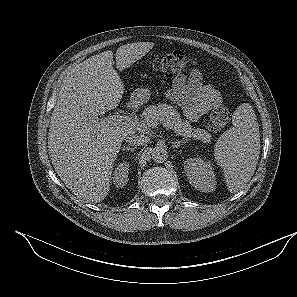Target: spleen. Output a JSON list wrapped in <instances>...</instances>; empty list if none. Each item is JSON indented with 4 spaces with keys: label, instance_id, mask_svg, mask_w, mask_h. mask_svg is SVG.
I'll list each match as a JSON object with an SVG mask.
<instances>
[{
    "label": "spleen",
    "instance_id": "obj_1",
    "mask_svg": "<svg viewBox=\"0 0 297 297\" xmlns=\"http://www.w3.org/2000/svg\"><path fill=\"white\" fill-rule=\"evenodd\" d=\"M233 127L217 140L216 163L223 169L228 190L236 193L253 176L260 154L259 124L252 106L243 103L232 116Z\"/></svg>",
    "mask_w": 297,
    "mask_h": 297
}]
</instances>
